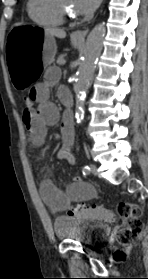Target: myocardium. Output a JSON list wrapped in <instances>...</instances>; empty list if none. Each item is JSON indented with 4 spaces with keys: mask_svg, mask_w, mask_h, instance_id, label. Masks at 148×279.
<instances>
[{
    "mask_svg": "<svg viewBox=\"0 0 148 279\" xmlns=\"http://www.w3.org/2000/svg\"><path fill=\"white\" fill-rule=\"evenodd\" d=\"M52 5L57 12V14L62 18V19H75L76 16L75 14L70 11L68 8H66L61 0H51Z\"/></svg>",
    "mask_w": 148,
    "mask_h": 279,
    "instance_id": "myocardium-1",
    "label": "myocardium"
}]
</instances>
